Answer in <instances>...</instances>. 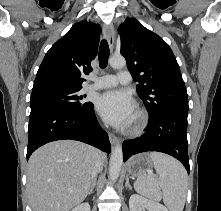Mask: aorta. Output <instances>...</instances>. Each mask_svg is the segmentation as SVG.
<instances>
[{"instance_id":"aorta-1","label":"aorta","mask_w":221,"mask_h":211,"mask_svg":"<svg viewBox=\"0 0 221 211\" xmlns=\"http://www.w3.org/2000/svg\"><path fill=\"white\" fill-rule=\"evenodd\" d=\"M109 64L111 67L116 69H121L126 66V60L122 56H113L109 59ZM123 163V150L122 145L117 144L111 153L110 163H109V178L112 182L116 181L119 177L121 167Z\"/></svg>"}]
</instances>
